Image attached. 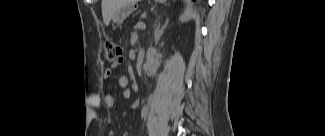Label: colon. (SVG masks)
<instances>
[{"instance_id":"obj_1","label":"colon","mask_w":325,"mask_h":136,"mask_svg":"<svg viewBox=\"0 0 325 136\" xmlns=\"http://www.w3.org/2000/svg\"><path fill=\"white\" fill-rule=\"evenodd\" d=\"M105 57L108 61H117L120 59L122 50L119 45L114 42H106L104 45Z\"/></svg>"}]
</instances>
